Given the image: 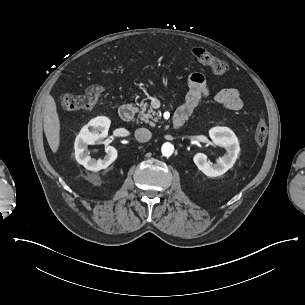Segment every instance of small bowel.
<instances>
[{
    "instance_id": "small-bowel-1",
    "label": "small bowel",
    "mask_w": 305,
    "mask_h": 305,
    "mask_svg": "<svg viewBox=\"0 0 305 305\" xmlns=\"http://www.w3.org/2000/svg\"><path fill=\"white\" fill-rule=\"evenodd\" d=\"M189 91L185 102L177 110L186 117L190 116L205 96H213L214 100L229 111H238L242 108L239 92L234 88L215 89L201 73H193L188 77Z\"/></svg>"
}]
</instances>
